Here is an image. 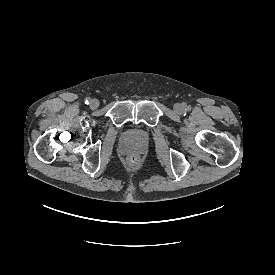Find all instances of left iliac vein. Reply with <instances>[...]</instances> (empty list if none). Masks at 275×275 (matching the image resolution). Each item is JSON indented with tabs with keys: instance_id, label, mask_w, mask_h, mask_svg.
<instances>
[{
	"instance_id": "4c4485c4",
	"label": "left iliac vein",
	"mask_w": 275,
	"mask_h": 275,
	"mask_svg": "<svg viewBox=\"0 0 275 275\" xmlns=\"http://www.w3.org/2000/svg\"><path fill=\"white\" fill-rule=\"evenodd\" d=\"M173 109L177 113H182L184 111L183 106L180 103L174 104Z\"/></svg>"
}]
</instances>
